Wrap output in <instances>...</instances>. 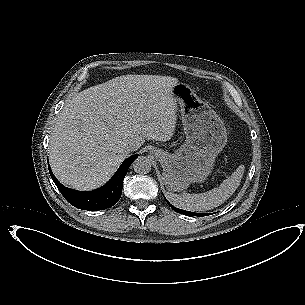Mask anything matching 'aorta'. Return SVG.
Wrapping results in <instances>:
<instances>
[{
	"mask_svg": "<svg viewBox=\"0 0 305 305\" xmlns=\"http://www.w3.org/2000/svg\"><path fill=\"white\" fill-rule=\"evenodd\" d=\"M152 164L149 158L146 156H139L134 160L132 168L136 173L147 174L151 171Z\"/></svg>",
	"mask_w": 305,
	"mask_h": 305,
	"instance_id": "aorta-1",
	"label": "aorta"
}]
</instances>
